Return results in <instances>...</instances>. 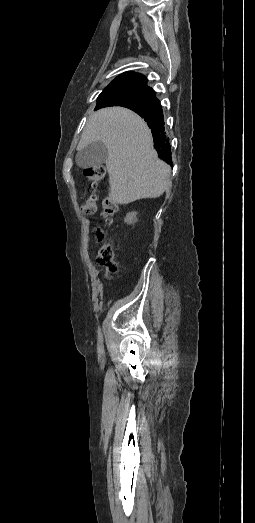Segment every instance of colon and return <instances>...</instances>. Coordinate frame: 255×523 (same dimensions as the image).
I'll use <instances>...</instances> for the list:
<instances>
[{
  "label": "colon",
  "instance_id": "1",
  "mask_svg": "<svg viewBox=\"0 0 255 523\" xmlns=\"http://www.w3.org/2000/svg\"><path fill=\"white\" fill-rule=\"evenodd\" d=\"M106 169L102 165L88 167L84 170V175L88 179L89 186L86 192V200L82 204V212L85 215H94L97 212V184L105 177ZM102 216L107 225H112L114 216L118 212L117 204L110 198L102 200ZM96 264L105 269L106 273H114L117 269L114 261V250L108 242H104L96 254Z\"/></svg>",
  "mask_w": 255,
  "mask_h": 523
}]
</instances>
